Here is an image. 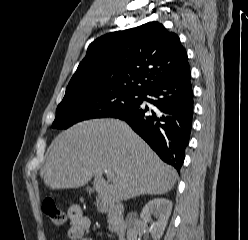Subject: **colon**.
Returning <instances> with one entry per match:
<instances>
[{
    "mask_svg": "<svg viewBox=\"0 0 248 240\" xmlns=\"http://www.w3.org/2000/svg\"><path fill=\"white\" fill-rule=\"evenodd\" d=\"M44 213L56 226H63L66 222L65 213L56 205L52 199H47L42 205Z\"/></svg>",
    "mask_w": 248,
    "mask_h": 240,
    "instance_id": "colon-1",
    "label": "colon"
}]
</instances>
